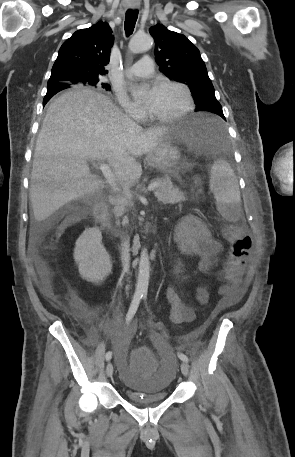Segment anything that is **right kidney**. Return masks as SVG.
I'll return each mask as SVG.
<instances>
[{
    "label": "right kidney",
    "instance_id": "right-kidney-1",
    "mask_svg": "<svg viewBox=\"0 0 295 457\" xmlns=\"http://www.w3.org/2000/svg\"><path fill=\"white\" fill-rule=\"evenodd\" d=\"M74 260L81 277L87 281L100 283L111 273V258L102 245L98 228H87L77 239Z\"/></svg>",
    "mask_w": 295,
    "mask_h": 457
}]
</instances>
